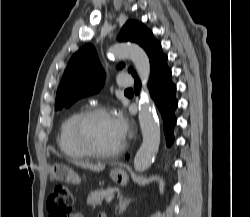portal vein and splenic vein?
I'll list each match as a JSON object with an SVG mask.
<instances>
[{
    "instance_id": "obj_1",
    "label": "portal vein and splenic vein",
    "mask_w": 250,
    "mask_h": 217,
    "mask_svg": "<svg viewBox=\"0 0 250 217\" xmlns=\"http://www.w3.org/2000/svg\"><path fill=\"white\" fill-rule=\"evenodd\" d=\"M113 197H114L113 195L106 197V203H110L112 201Z\"/></svg>"
}]
</instances>
